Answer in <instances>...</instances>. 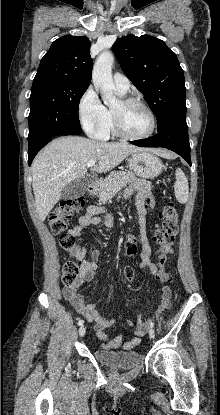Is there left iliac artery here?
Instances as JSON below:
<instances>
[{"mask_svg":"<svg viewBox=\"0 0 220 415\" xmlns=\"http://www.w3.org/2000/svg\"><path fill=\"white\" fill-rule=\"evenodd\" d=\"M150 327L153 328L154 327V323L150 320Z\"/></svg>","mask_w":220,"mask_h":415,"instance_id":"1","label":"left iliac artery"}]
</instances>
